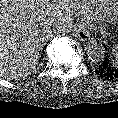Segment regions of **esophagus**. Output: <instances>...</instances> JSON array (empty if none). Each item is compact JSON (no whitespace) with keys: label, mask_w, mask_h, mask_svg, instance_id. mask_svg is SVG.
I'll return each mask as SVG.
<instances>
[{"label":"esophagus","mask_w":118,"mask_h":118,"mask_svg":"<svg viewBox=\"0 0 118 118\" xmlns=\"http://www.w3.org/2000/svg\"><path fill=\"white\" fill-rule=\"evenodd\" d=\"M74 35L81 41H89L90 34L82 23L76 24L73 29Z\"/></svg>","instance_id":"34e87169"}]
</instances>
